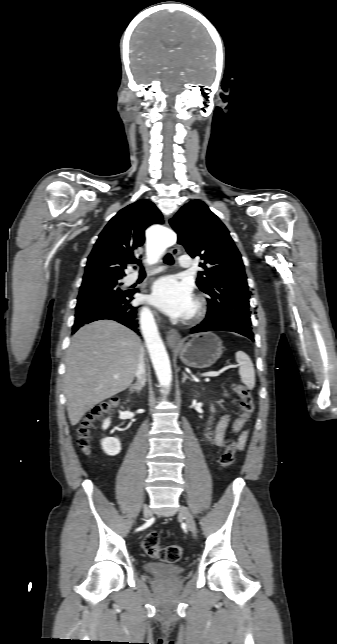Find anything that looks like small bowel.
<instances>
[{
	"mask_svg": "<svg viewBox=\"0 0 337 644\" xmlns=\"http://www.w3.org/2000/svg\"><path fill=\"white\" fill-rule=\"evenodd\" d=\"M230 420H231L230 415H228V414L223 415L220 418V420L218 421V423H217V426H216V429H215L214 439L211 440L209 434L206 431H204L202 433V436H203L204 440H206L207 442H211V443L215 444L216 446L224 447L226 445V443H227L226 431H227V428L229 426ZM241 424H242L241 420L237 419L233 423V430L238 431L239 427L241 426ZM246 437H247V432L243 431L241 433V435L239 436V438H238L237 447H238L239 450L243 449V447L245 445V442H246Z\"/></svg>",
	"mask_w": 337,
	"mask_h": 644,
	"instance_id": "c3829d8e",
	"label": "small bowel"
}]
</instances>
